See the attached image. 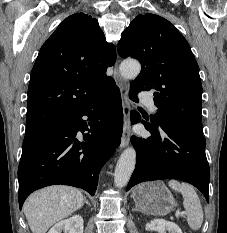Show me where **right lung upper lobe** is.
I'll return each instance as SVG.
<instances>
[{
	"instance_id": "cb5924a9",
	"label": "right lung upper lobe",
	"mask_w": 227,
	"mask_h": 233,
	"mask_svg": "<svg viewBox=\"0 0 227 233\" xmlns=\"http://www.w3.org/2000/svg\"><path fill=\"white\" fill-rule=\"evenodd\" d=\"M116 52L98 21L67 17L41 47L28 87L26 134L79 111L112 87Z\"/></svg>"
}]
</instances>
